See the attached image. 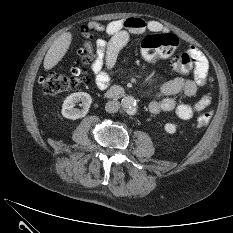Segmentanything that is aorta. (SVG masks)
I'll return each instance as SVG.
<instances>
[{
  "label": "aorta",
  "instance_id": "1",
  "mask_svg": "<svg viewBox=\"0 0 233 233\" xmlns=\"http://www.w3.org/2000/svg\"><path fill=\"white\" fill-rule=\"evenodd\" d=\"M121 105L123 109L126 111V113L129 115H134L137 111L136 99L132 96L123 97Z\"/></svg>",
  "mask_w": 233,
  "mask_h": 233
}]
</instances>
